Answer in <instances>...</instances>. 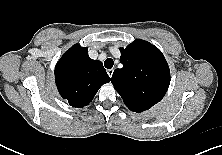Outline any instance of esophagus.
<instances>
[{"label": "esophagus", "instance_id": "34e87169", "mask_svg": "<svg viewBox=\"0 0 222 155\" xmlns=\"http://www.w3.org/2000/svg\"><path fill=\"white\" fill-rule=\"evenodd\" d=\"M114 70L113 69H108L107 73L109 75V77H112Z\"/></svg>", "mask_w": 222, "mask_h": 155}]
</instances>
